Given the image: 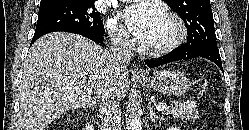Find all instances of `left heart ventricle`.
<instances>
[{
	"mask_svg": "<svg viewBox=\"0 0 249 130\" xmlns=\"http://www.w3.org/2000/svg\"><path fill=\"white\" fill-rule=\"evenodd\" d=\"M176 29L173 23L168 21L165 17L158 29L156 38L154 43L151 45V47H155L158 45H161L170 39H172L175 35Z\"/></svg>",
	"mask_w": 249,
	"mask_h": 130,
	"instance_id": "left-heart-ventricle-1",
	"label": "left heart ventricle"
}]
</instances>
